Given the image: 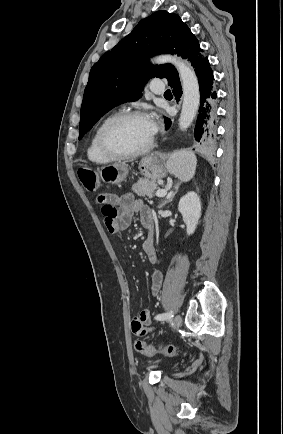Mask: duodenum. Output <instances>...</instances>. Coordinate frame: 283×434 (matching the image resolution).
I'll return each instance as SVG.
<instances>
[{
  "label": "duodenum",
  "instance_id": "1",
  "mask_svg": "<svg viewBox=\"0 0 283 434\" xmlns=\"http://www.w3.org/2000/svg\"><path fill=\"white\" fill-rule=\"evenodd\" d=\"M148 231H149L148 238H151V239H152V227H150V228L148 229Z\"/></svg>",
  "mask_w": 283,
  "mask_h": 434
}]
</instances>
